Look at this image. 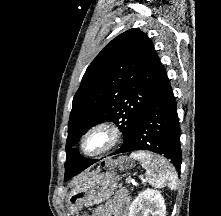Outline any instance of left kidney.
<instances>
[{
	"label": "left kidney",
	"mask_w": 221,
	"mask_h": 216,
	"mask_svg": "<svg viewBox=\"0 0 221 216\" xmlns=\"http://www.w3.org/2000/svg\"><path fill=\"white\" fill-rule=\"evenodd\" d=\"M165 214L166 205L160 191L146 189L132 202L128 216H165Z\"/></svg>",
	"instance_id": "5707ae66"
}]
</instances>
